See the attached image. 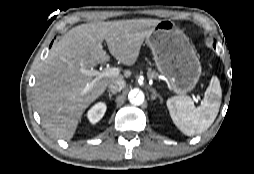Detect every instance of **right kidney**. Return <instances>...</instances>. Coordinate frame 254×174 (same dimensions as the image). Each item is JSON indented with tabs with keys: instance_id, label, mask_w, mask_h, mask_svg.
<instances>
[{
	"instance_id": "obj_1",
	"label": "right kidney",
	"mask_w": 254,
	"mask_h": 174,
	"mask_svg": "<svg viewBox=\"0 0 254 174\" xmlns=\"http://www.w3.org/2000/svg\"><path fill=\"white\" fill-rule=\"evenodd\" d=\"M105 112H106V105H105V103L100 102V103L95 104L88 111L87 117L92 124H95L102 119Z\"/></svg>"
}]
</instances>
